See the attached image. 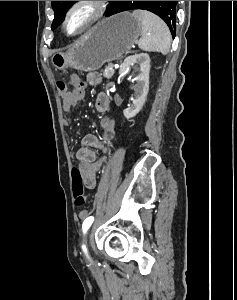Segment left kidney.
Segmentation results:
<instances>
[{
    "instance_id": "obj_1",
    "label": "left kidney",
    "mask_w": 237,
    "mask_h": 300,
    "mask_svg": "<svg viewBox=\"0 0 237 300\" xmlns=\"http://www.w3.org/2000/svg\"><path fill=\"white\" fill-rule=\"evenodd\" d=\"M135 63L138 65L137 71H139V73L138 77L135 79L136 85L133 87L135 93L132 105L123 111V115L126 119L135 117V115L141 111L149 91L150 57L147 53L126 57L124 63H122L120 67L119 75L126 73V71H128L132 65H135Z\"/></svg>"
}]
</instances>
